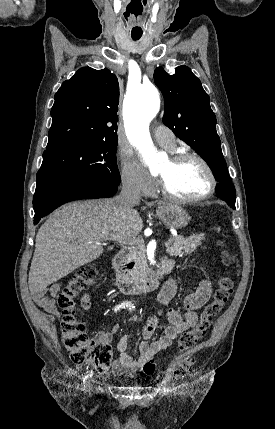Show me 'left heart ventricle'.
Returning <instances> with one entry per match:
<instances>
[{
    "label": "left heart ventricle",
    "instance_id": "b2bd125f",
    "mask_svg": "<svg viewBox=\"0 0 275 429\" xmlns=\"http://www.w3.org/2000/svg\"><path fill=\"white\" fill-rule=\"evenodd\" d=\"M157 176L173 194L181 197H198L209 188L208 175L203 166L196 160L162 163L156 170Z\"/></svg>",
    "mask_w": 275,
    "mask_h": 429
}]
</instances>
